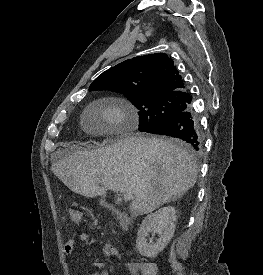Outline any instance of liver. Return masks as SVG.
Returning <instances> with one entry per match:
<instances>
[{
    "mask_svg": "<svg viewBox=\"0 0 263 275\" xmlns=\"http://www.w3.org/2000/svg\"><path fill=\"white\" fill-rule=\"evenodd\" d=\"M51 170L71 191L85 197L103 196L107 190L130 193L132 216L148 214L181 197L194 186L198 173L185 148L144 136L96 150L56 152Z\"/></svg>",
    "mask_w": 263,
    "mask_h": 275,
    "instance_id": "1",
    "label": "liver"
}]
</instances>
